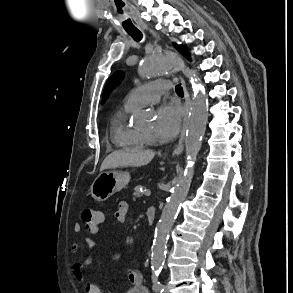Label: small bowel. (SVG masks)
<instances>
[{
    "label": "small bowel",
    "instance_id": "1",
    "mask_svg": "<svg viewBox=\"0 0 293 293\" xmlns=\"http://www.w3.org/2000/svg\"><path fill=\"white\" fill-rule=\"evenodd\" d=\"M129 211V204L126 201H121L118 204L117 210L114 213V219L118 223H124L127 218V214ZM104 215L101 213V223L104 222ZM85 230L90 234H96L99 230V227L95 230H90L85 228ZM74 231L76 233L81 231V225L75 224L74 225ZM86 245L89 247L90 250L94 249L95 243L92 239L87 238L85 240ZM72 252L76 253L79 250V244L73 243L72 244ZM92 261L91 256H88L83 262H77L73 264L72 266V274L75 277V279L79 282H85V275H84V268L88 265H90ZM143 273L138 269H130L127 272V280L129 282V286L127 287L126 293H148L147 287L143 283ZM87 292L88 293H102L100 288L92 283L87 284Z\"/></svg>",
    "mask_w": 293,
    "mask_h": 293
}]
</instances>
